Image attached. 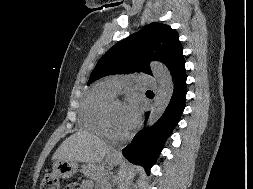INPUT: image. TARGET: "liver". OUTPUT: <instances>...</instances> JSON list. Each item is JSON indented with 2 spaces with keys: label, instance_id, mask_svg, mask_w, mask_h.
<instances>
[{
  "label": "liver",
  "instance_id": "obj_1",
  "mask_svg": "<svg viewBox=\"0 0 253 189\" xmlns=\"http://www.w3.org/2000/svg\"><path fill=\"white\" fill-rule=\"evenodd\" d=\"M110 151V147L97 136L87 131H78L60 145L52 159L86 162L93 166L100 163Z\"/></svg>",
  "mask_w": 253,
  "mask_h": 189
}]
</instances>
